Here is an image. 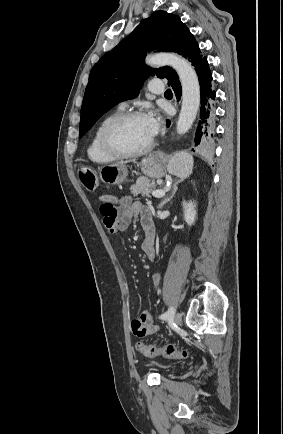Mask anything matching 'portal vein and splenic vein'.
<instances>
[{"label":"portal vein and splenic vein","instance_id":"18ae733b","mask_svg":"<svg viewBox=\"0 0 283 434\" xmlns=\"http://www.w3.org/2000/svg\"><path fill=\"white\" fill-rule=\"evenodd\" d=\"M152 195L156 198L163 197L165 195V190H156L152 192Z\"/></svg>","mask_w":283,"mask_h":434}]
</instances>
